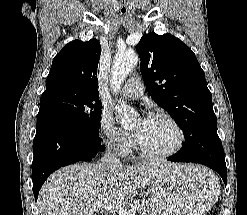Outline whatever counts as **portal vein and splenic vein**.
<instances>
[{
    "mask_svg": "<svg viewBox=\"0 0 247 215\" xmlns=\"http://www.w3.org/2000/svg\"><path fill=\"white\" fill-rule=\"evenodd\" d=\"M139 207V204L137 202H134L131 205L130 209L124 208L122 206H119L113 202H111L110 200L107 199H102L99 200L94 206L93 208L98 211L100 209H104L107 212L111 213V214H115L118 213V215H135V211L137 210V208Z\"/></svg>",
    "mask_w": 247,
    "mask_h": 215,
    "instance_id": "portal-vein-and-splenic-vein-1",
    "label": "portal vein and splenic vein"
}]
</instances>
